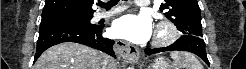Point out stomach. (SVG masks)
<instances>
[{
  "mask_svg": "<svg viewBox=\"0 0 246 69\" xmlns=\"http://www.w3.org/2000/svg\"><path fill=\"white\" fill-rule=\"evenodd\" d=\"M146 69H173L172 65L164 58L157 57Z\"/></svg>",
  "mask_w": 246,
  "mask_h": 69,
  "instance_id": "1",
  "label": "stomach"
}]
</instances>
